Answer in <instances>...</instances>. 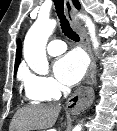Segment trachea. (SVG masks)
<instances>
[{"mask_svg": "<svg viewBox=\"0 0 117 131\" xmlns=\"http://www.w3.org/2000/svg\"><path fill=\"white\" fill-rule=\"evenodd\" d=\"M53 1H54L56 13L60 19V25L64 35L73 41L76 42L80 41L79 35L75 31H73V29L69 24V21L67 20L64 14V0H53Z\"/></svg>", "mask_w": 117, "mask_h": 131, "instance_id": "obj_1", "label": "trachea"}]
</instances>
